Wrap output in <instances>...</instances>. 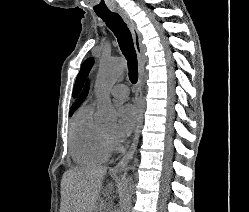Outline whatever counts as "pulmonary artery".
Listing matches in <instances>:
<instances>
[{
	"label": "pulmonary artery",
	"mask_w": 249,
	"mask_h": 212,
	"mask_svg": "<svg viewBox=\"0 0 249 212\" xmlns=\"http://www.w3.org/2000/svg\"><path fill=\"white\" fill-rule=\"evenodd\" d=\"M99 55V54H95ZM111 96L117 99H125L129 95V89L126 85L124 84H115L111 88Z\"/></svg>",
	"instance_id": "1"
}]
</instances>
